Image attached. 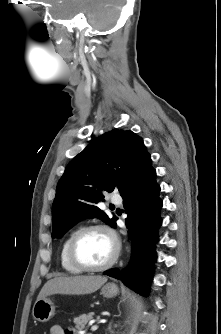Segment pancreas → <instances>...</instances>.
<instances>
[{"label":"pancreas","instance_id":"1","mask_svg":"<svg viewBox=\"0 0 221 334\" xmlns=\"http://www.w3.org/2000/svg\"><path fill=\"white\" fill-rule=\"evenodd\" d=\"M94 313L82 314L79 317H75L73 322L77 329L82 330L85 328V325L93 319Z\"/></svg>","mask_w":221,"mask_h":334}]
</instances>
